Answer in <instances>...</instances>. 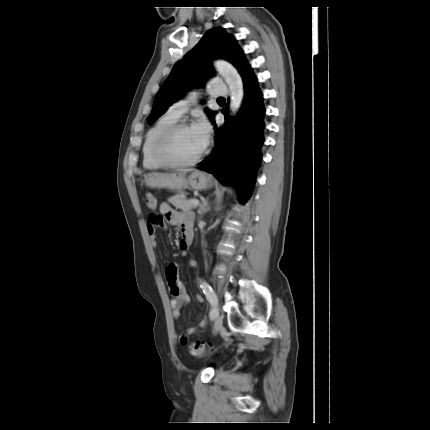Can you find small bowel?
<instances>
[{"instance_id": "1", "label": "small bowel", "mask_w": 430, "mask_h": 430, "mask_svg": "<svg viewBox=\"0 0 430 430\" xmlns=\"http://www.w3.org/2000/svg\"><path fill=\"white\" fill-rule=\"evenodd\" d=\"M162 216H150L147 223V232L149 235L150 244L153 248L157 246V229L164 227L166 224L177 226L181 233L179 248L183 257L187 256L188 248L193 239V215L187 211H178L172 208L167 202H162L159 206ZM188 263L191 267H197L198 261L195 258H189ZM166 279L172 296L171 305L173 317L177 319L180 316L181 310L189 303L190 298L187 295L182 282L178 279V268L176 265L171 264L166 269ZM199 303L203 302L201 295L196 296ZM206 321L200 319L198 326L189 327L185 333L178 337V342L181 345H186L188 336L196 333L197 330L205 327Z\"/></svg>"}]
</instances>
